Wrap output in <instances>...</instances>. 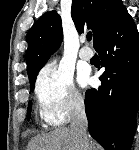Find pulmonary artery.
Masks as SVG:
<instances>
[{"instance_id": "1", "label": "pulmonary artery", "mask_w": 139, "mask_h": 150, "mask_svg": "<svg viewBox=\"0 0 139 150\" xmlns=\"http://www.w3.org/2000/svg\"><path fill=\"white\" fill-rule=\"evenodd\" d=\"M93 55H94L93 51L86 46L82 47L81 50L79 51V57L82 60L88 61L93 57Z\"/></svg>"}]
</instances>
